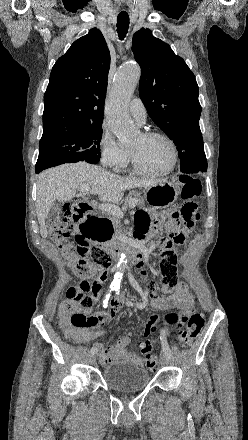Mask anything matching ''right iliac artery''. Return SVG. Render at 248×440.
I'll use <instances>...</instances> for the list:
<instances>
[{
	"mask_svg": "<svg viewBox=\"0 0 248 440\" xmlns=\"http://www.w3.org/2000/svg\"><path fill=\"white\" fill-rule=\"evenodd\" d=\"M112 290H114V289L112 288L110 291H108V292L106 293L104 299H103V307H104V308L107 307L108 300H109V298H110V293H111ZM97 351H98V350H97L96 347H92V348L90 349V353H92V354L97 353Z\"/></svg>",
	"mask_w": 248,
	"mask_h": 440,
	"instance_id": "1",
	"label": "right iliac artery"
}]
</instances>
